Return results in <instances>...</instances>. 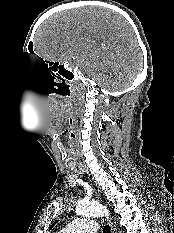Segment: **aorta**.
I'll use <instances>...</instances> for the list:
<instances>
[{"label":"aorta","instance_id":"obj_1","mask_svg":"<svg viewBox=\"0 0 174 233\" xmlns=\"http://www.w3.org/2000/svg\"><path fill=\"white\" fill-rule=\"evenodd\" d=\"M76 213L83 217H100L109 215L105 206L99 203H79L76 207Z\"/></svg>","mask_w":174,"mask_h":233}]
</instances>
